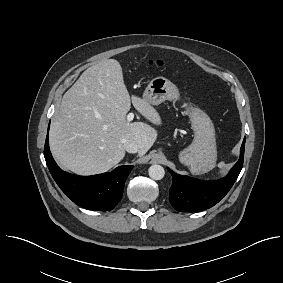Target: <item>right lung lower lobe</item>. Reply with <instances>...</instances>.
Segmentation results:
<instances>
[{
	"label": "right lung lower lobe",
	"instance_id": "98d812e1",
	"mask_svg": "<svg viewBox=\"0 0 283 283\" xmlns=\"http://www.w3.org/2000/svg\"><path fill=\"white\" fill-rule=\"evenodd\" d=\"M44 156L51 175L60 189L77 205L99 211L113 209L120 201L124 184L133 166H119L110 173L77 176L62 171L54 161L46 137Z\"/></svg>",
	"mask_w": 283,
	"mask_h": 283
}]
</instances>
